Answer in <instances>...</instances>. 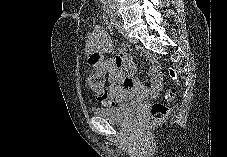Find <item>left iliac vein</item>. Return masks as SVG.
<instances>
[{"label": "left iliac vein", "instance_id": "1", "mask_svg": "<svg viewBox=\"0 0 227 157\" xmlns=\"http://www.w3.org/2000/svg\"><path fill=\"white\" fill-rule=\"evenodd\" d=\"M118 28H119V31L122 33V34H125V31H124V28H123V24L122 22H119L118 23ZM127 37V36H126ZM130 41L133 42V43H137V39H134V38H130Z\"/></svg>", "mask_w": 227, "mask_h": 157}]
</instances>
